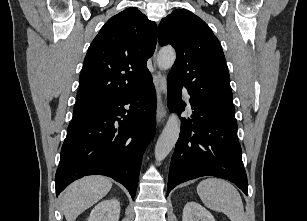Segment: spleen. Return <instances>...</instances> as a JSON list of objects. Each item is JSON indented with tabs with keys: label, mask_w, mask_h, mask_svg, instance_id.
I'll return each instance as SVG.
<instances>
[{
	"label": "spleen",
	"mask_w": 307,
	"mask_h": 221,
	"mask_svg": "<svg viewBox=\"0 0 307 221\" xmlns=\"http://www.w3.org/2000/svg\"><path fill=\"white\" fill-rule=\"evenodd\" d=\"M197 193L206 207L224 213L231 221H243L242 199L231 183L207 178L198 184Z\"/></svg>",
	"instance_id": "1"
}]
</instances>
